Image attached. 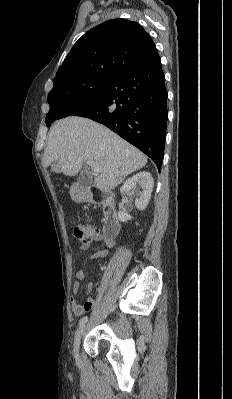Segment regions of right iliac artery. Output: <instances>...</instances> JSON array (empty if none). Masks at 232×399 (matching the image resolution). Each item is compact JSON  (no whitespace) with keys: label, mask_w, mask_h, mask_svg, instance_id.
<instances>
[{"label":"right iliac artery","mask_w":232,"mask_h":399,"mask_svg":"<svg viewBox=\"0 0 232 399\" xmlns=\"http://www.w3.org/2000/svg\"><path fill=\"white\" fill-rule=\"evenodd\" d=\"M115 309V307L112 309V311ZM87 320H88V317L87 316H84V317H82L81 319H80V322H79V328H82L84 325H85V323L87 322Z\"/></svg>","instance_id":"82829eb1"}]
</instances>
